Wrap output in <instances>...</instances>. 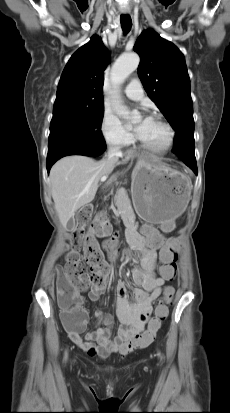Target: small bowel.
<instances>
[{"instance_id": "1", "label": "small bowel", "mask_w": 230, "mask_h": 413, "mask_svg": "<svg viewBox=\"0 0 230 413\" xmlns=\"http://www.w3.org/2000/svg\"><path fill=\"white\" fill-rule=\"evenodd\" d=\"M160 231H176V222H160ZM106 234L102 232L101 235ZM127 237L130 245L141 252V267L132 271V279L138 286L132 290L133 301L128 298V288L124 282H119L116 286L117 291V316L121 326L116 335L111 338V330L114 320L109 315L101 312L95 313V318L103 323V327H97L93 331L85 334L84 338L81 332L87 323V313L82 308V298L78 292L77 307L81 311V318L75 319L74 312L63 311L61 319L69 338L83 351L91 356L105 358L116 352L127 354L125 346L132 340L139 338L145 331L146 324L152 313L153 301L161 295L168 292L174 294V288L166 285L165 277H156L154 274V265L156 254L154 249L162 245L159 233L152 227H144V236L138 234L134 229H129ZM165 247V246H164ZM162 247V250L164 249ZM109 259L114 261L117 253L108 252ZM109 272L105 275L104 284L101 287L92 286L88 292L90 301H97L100 292L105 289Z\"/></svg>"}]
</instances>
